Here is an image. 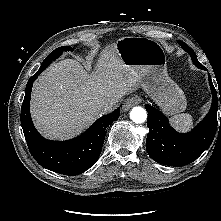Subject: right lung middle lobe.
<instances>
[{"instance_id":"obj_1","label":"right lung middle lobe","mask_w":221,"mask_h":221,"mask_svg":"<svg viewBox=\"0 0 221 221\" xmlns=\"http://www.w3.org/2000/svg\"><path fill=\"white\" fill-rule=\"evenodd\" d=\"M64 51H73V48L68 46H62L57 49H55L46 59L43 61L41 65L49 64L52 62V60H55L57 57H59Z\"/></svg>"}]
</instances>
